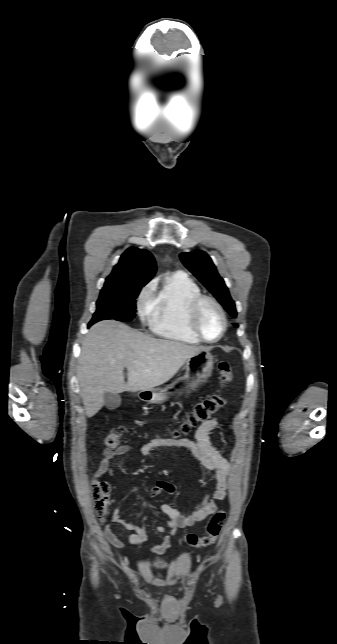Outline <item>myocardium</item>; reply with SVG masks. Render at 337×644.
<instances>
[{
	"mask_svg": "<svg viewBox=\"0 0 337 644\" xmlns=\"http://www.w3.org/2000/svg\"><path fill=\"white\" fill-rule=\"evenodd\" d=\"M205 304L213 305L220 314L222 321V329L219 336L215 339H207L204 337L199 328V316ZM227 316L222 305L212 296L200 294L193 299L188 310V326L191 332L201 341L208 344H213L220 341L227 330Z\"/></svg>",
	"mask_w": 337,
	"mask_h": 644,
	"instance_id": "myocardium-1",
	"label": "myocardium"
}]
</instances>
